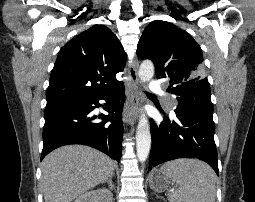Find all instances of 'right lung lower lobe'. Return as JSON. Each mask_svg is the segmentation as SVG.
<instances>
[{"instance_id":"1","label":"right lung lower lobe","mask_w":255,"mask_h":202,"mask_svg":"<svg viewBox=\"0 0 255 202\" xmlns=\"http://www.w3.org/2000/svg\"><path fill=\"white\" fill-rule=\"evenodd\" d=\"M124 98L122 82L104 93L46 106L41 160L60 146L83 144L94 147L120 162L123 105L118 101ZM100 100H104L105 103L102 105ZM100 106L109 115L99 116L103 120L100 123L92 122L96 116L91 112Z\"/></svg>"}]
</instances>
